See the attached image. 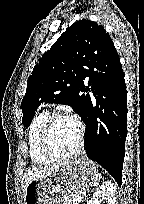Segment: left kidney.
<instances>
[{
  "mask_svg": "<svg viewBox=\"0 0 144 204\" xmlns=\"http://www.w3.org/2000/svg\"><path fill=\"white\" fill-rule=\"evenodd\" d=\"M116 188L111 181L104 182L93 194V197L87 204H101L106 197V204H116Z\"/></svg>",
  "mask_w": 144,
  "mask_h": 204,
  "instance_id": "left-kidney-1",
  "label": "left kidney"
}]
</instances>
